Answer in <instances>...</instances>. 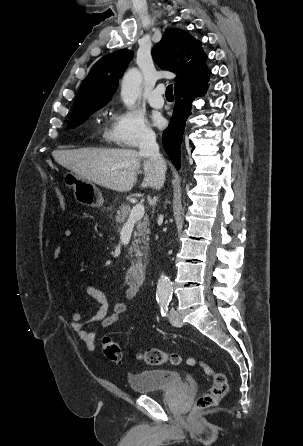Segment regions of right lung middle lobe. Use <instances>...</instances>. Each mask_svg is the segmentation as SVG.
<instances>
[{"label":"right lung middle lobe","mask_w":303,"mask_h":446,"mask_svg":"<svg viewBox=\"0 0 303 446\" xmlns=\"http://www.w3.org/2000/svg\"><path fill=\"white\" fill-rule=\"evenodd\" d=\"M102 106L89 108L80 112H76L71 114L70 120L68 122L67 129L75 128L78 125L82 124L90 114L100 109Z\"/></svg>","instance_id":"right-lung-middle-lobe-1"}]
</instances>
